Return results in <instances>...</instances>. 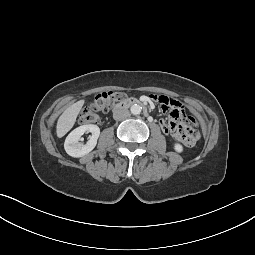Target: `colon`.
<instances>
[{
    "label": "colon",
    "instance_id": "5ec220e1",
    "mask_svg": "<svg viewBox=\"0 0 255 255\" xmlns=\"http://www.w3.org/2000/svg\"><path fill=\"white\" fill-rule=\"evenodd\" d=\"M164 97H166V96H155L154 99L156 101H158L159 104L161 105V100ZM124 98H125V94L120 91H106V92L99 93L95 97L94 101L89 106L85 107L82 110L80 117H79V123L80 124L97 123L99 121L98 113L106 112L112 104H114L116 102H120ZM164 111H166V110H164ZM190 118L193 122H195L192 117H190ZM199 138H200V133H199Z\"/></svg>",
    "mask_w": 255,
    "mask_h": 255
}]
</instances>
